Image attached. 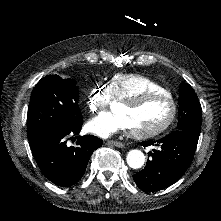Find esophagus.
I'll list each match as a JSON object with an SVG mask.
<instances>
[{"instance_id":"obj_1","label":"esophagus","mask_w":221,"mask_h":221,"mask_svg":"<svg viewBox=\"0 0 221 221\" xmlns=\"http://www.w3.org/2000/svg\"><path fill=\"white\" fill-rule=\"evenodd\" d=\"M106 145H111V146L119 147V148H123L124 147V143L123 142L115 141V140H108L106 142Z\"/></svg>"}]
</instances>
